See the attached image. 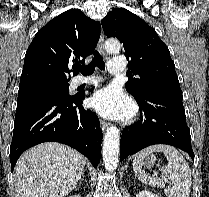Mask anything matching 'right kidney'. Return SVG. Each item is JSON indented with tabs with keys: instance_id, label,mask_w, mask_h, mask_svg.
I'll return each instance as SVG.
<instances>
[{
	"instance_id": "obj_1",
	"label": "right kidney",
	"mask_w": 209,
	"mask_h": 197,
	"mask_svg": "<svg viewBox=\"0 0 209 197\" xmlns=\"http://www.w3.org/2000/svg\"><path fill=\"white\" fill-rule=\"evenodd\" d=\"M69 197H81L80 195H70Z\"/></svg>"
}]
</instances>
